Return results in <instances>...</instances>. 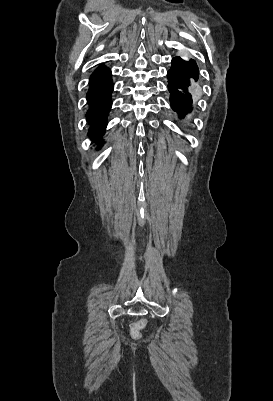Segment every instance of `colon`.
Listing matches in <instances>:
<instances>
[{
    "mask_svg": "<svg viewBox=\"0 0 273 401\" xmlns=\"http://www.w3.org/2000/svg\"><path fill=\"white\" fill-rule=\"evenodd\" d=\"M149 322L147 319H136L133 322L132 329L129 330L128 335L133 342L140 340L141 328H147Z\"/></svg>",
    "mask_w": 273,
    "mask_h": 401,
    "instance_id": "colon-1",
    "label": "colon"
}]
</instances>
